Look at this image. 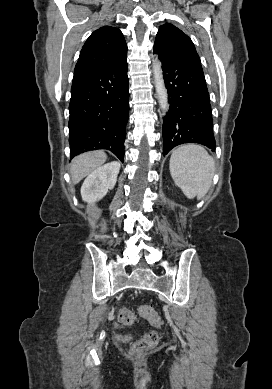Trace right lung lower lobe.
<instances>
[{
  "label": "right lung lower lobe",
  "instance_id": "obj_1",
  "mask_svg": "<svg viewBox=\"0 0 272 389\" xmlns=\"http://www.w3.org/2000/svg\"><path fill=\"white\" fill-rule=\"evenodd\" d=\"M127 56L102 68L74 74L69 104L71 156L108 149L122 162L129 112Z\"/></svg>",
  "mask_w": 272,
  "mask_h": 389
}]
</instances>
